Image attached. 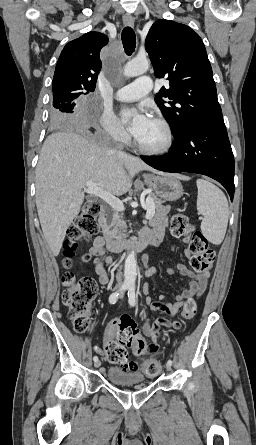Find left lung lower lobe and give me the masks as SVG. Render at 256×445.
I'll use <instances>...</instances> for the list:
<instances>
[{"label":"left lung lower lobe","instance_id":"1","mask_svg":"<svg viewBox=\"0 0 256 445\" xmlns=\"http://www.w3.org/2000/svg\"><path fill=\"white\" fill-rule=\"evenodd\" d=\"M170 151L162 156H140L164 172H192L219 181L234 196V156L224 122L191 121L177 133Z\"/></svg>","mask_w":256,"mask_h":445}]
</instances>
